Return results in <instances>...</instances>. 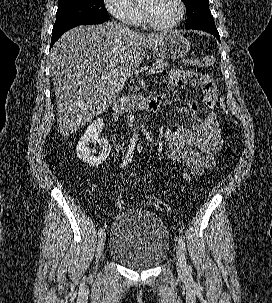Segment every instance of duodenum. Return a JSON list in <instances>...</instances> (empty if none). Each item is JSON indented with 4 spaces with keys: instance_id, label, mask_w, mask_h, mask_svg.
I'll return each mask as SVG.
<instances>
[{
    "instance_id": "duodenum-1",
    "label": "duodenum",
    "mask_w": 272,
    "mask_h": 303,
    "mask_svg": "<svg viewBox=\"0 0 272 303\" xmlns=\"http://www.w3.org/2000/svg\"><path fill=\"white\" fill-rule=\"evenodd\" d=\"M166 98H167L166 93L159 94V95H156V96L151 97V98L143 99L142 101H140L138 103V106L142 109H146V110H149V111H157L161 107H163V105L166 101ZM115 108L119 112H122V111L129 110L130 108H132V105H130L126 102L120 101V102H117L115 104Z\"/></svg>"
}]
</instances>
